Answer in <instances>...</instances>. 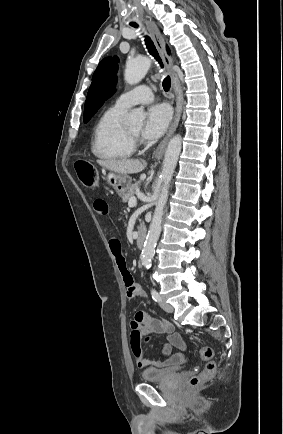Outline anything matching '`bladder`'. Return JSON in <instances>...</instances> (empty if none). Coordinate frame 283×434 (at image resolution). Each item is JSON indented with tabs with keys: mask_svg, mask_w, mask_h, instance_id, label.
Instances as JSON below:
<instances>
[{
	"mask_svg": "<svg viewBox=\"0 0 283 434\" xmlns=\"http://www.w3.org/2000/svg\"><path fill=\"white\" fill-rule=\"evenodd\" d=\"M178 371L175 368L159 369L148 367L141 373V379L146 382L164 381L175 377Z\"/></svg>",
	"mask_w": 283,
	"mask_h": 434,
	"instance_id": "31cf9c89",
	"label": "bladder"
}]
</instances>
